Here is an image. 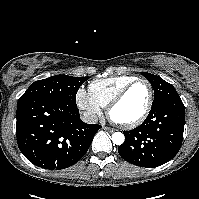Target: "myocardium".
Here are the masks:
<instances>
[{"instance_id":"1","label":"myocardium","mask_w":199,"mask_h":199,"mask_svg":"<svg viewBox=\"0 0 199 199\" xmlns=\"http://www.w3.org/2000/svg\"><path fill=\"white\" fill-rule=\"evenodd\" d=\"M145 83L148 86V90H149V96H148V101H147V105L143 111V113L136 119L129 121V122H119L114 120L120 127L123 128H133L136 127L138 125H140L149 115L151 109H152V105H153V101H154V90H153V86L150 83L149 80H147L146 78H135L134 80H132L130 83H128L116 96L115 98L109 103L108 107H107V113L109 115V117L112 119L111 113L112 110L124 99V97L126 96V94L128 93V91L137 83Z\"/></svg>"}]
</instances>
